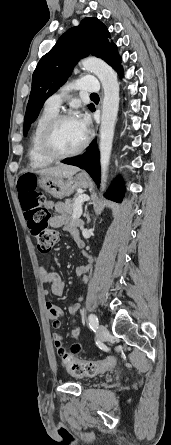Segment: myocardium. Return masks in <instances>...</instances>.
Segmentation results:
<instances>
[{"label": "myocardium", "mask_w": 171, "mask_h": 445, "mask_svg": "<svg viewBox=\"0 0 171 445\" xmlns=\"http://www.w3.org/2000/svg\"><path fill=\"white\" fill-rule=\"evenodd\" d=\"M77 119L76 116L69 113H62L55 115L44 127L40 138V151L44 157L51 161L62 160L70 157L77 156L81 154L88 146L90 141V136L87 133L82 144L75 150L70 152H58L56 151L51 143L52 135L57 128V126L66 121Z\"/></svg>", "instance_id": "f54148a6"}]
</instances>
